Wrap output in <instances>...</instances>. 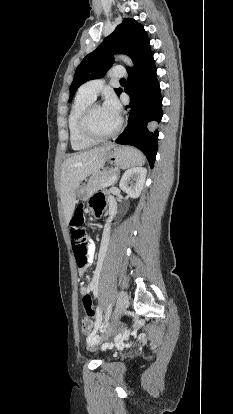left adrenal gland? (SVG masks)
I'll return each instance as SVG.
<instances>
[{
	"mask_svg": "<svg viewBox=\"0 0 233 414\" xmlns=\"http://www.w3.org/2000/svg\"><path fill=\"white\" fill-rule=\"evenodd\" d=\"M118 179L115 181V184L117 183Z\"/></svg>",
	"mask_w": 233,
	"mask_h": 414,
	"instance_id": "1",
	"label": "left adrenal gland"
}]
</instances>
